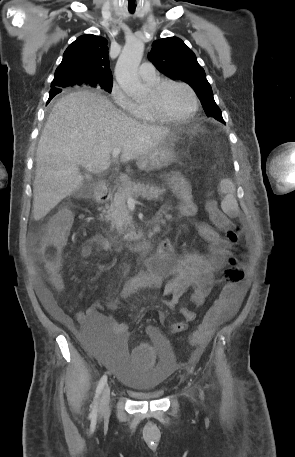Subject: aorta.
<instances>
[{
	"label": "aorta",
	"instance_id": "1",
	"mask_svg": "<svg viewBox=\"0 0 295 457\" xmlns=\"http://www.w3.org/2000/svg\"><path fill=\"white\" fill-rule=\"evenodd\" d=\"M144 52V43L138 39L126 42L115 67L119 86L129 96L138 99L145 95L146 89L138 77V67Z\"/></svg>",
	"mask_w": 295,
	"mask_h": 457
}]
</instances>
